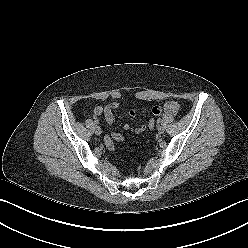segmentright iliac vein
I'll use <instances>...</instances> for the list:
<instances>
[{
	"instance_id": "63e3f726",
	"label": "right iliac vein",
	"mask_w": 248,
	"mask_h": 248,
	"mask_svg": "<svg viewBox=\"0 0 248 248\" xmlns=\"http://www.w3.org/2000/svg\"><path fill=\"white\" fill-rule=\"evenodd\" d=\"M94 132H95L96 135H100L102 131H101V128L99 126H96L94 128Z\"/></svg>"
}]
</instances>
